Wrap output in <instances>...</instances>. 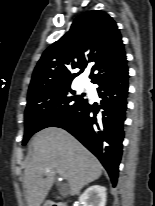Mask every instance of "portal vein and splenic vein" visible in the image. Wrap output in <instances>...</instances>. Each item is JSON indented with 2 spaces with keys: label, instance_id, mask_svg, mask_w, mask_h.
<instances>
[{
  "label": "portal vein and splenic vein",
  "instance_id": "portal-vein-and-splenic-vein-1",
  "mask_svg": "<svg viewBox=\"0 0 155 206\" xmlns=\"http://www.w3.org/2000/svg\"><path fill=\"white\" fill-rule=\"evenodd\" d=\"M47 171H49V170H47ZM59 173L62 175L63 178H65V175L62 172H59Z\"/></svg>",
  "mask_w": 155,
  "mask_h": 206
}]
</instances>
